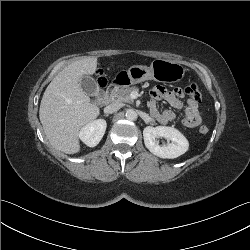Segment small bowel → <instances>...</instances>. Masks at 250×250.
<instances>
[{
    "label": "small bowel",
    "mask_w": 250,
    "mask_h": 250,
    "mask_svg": "<svg viewBox=\"0 0 250 250\" xmlns=\"http://www.w3.org/2000/svg\"><path fill=\"white\" fill-rule=\"evenodd\" d=\"M152 100L150 101L151 114L163 124L172 122L176 116L172 110L166 109L160 111L157 106L158 100H165L171 107L177 110L184 108L182 100L185 98L184 89L182 86L177 85L173 91H168L162 86L154 87L151 92ZM202 121L201 113L198 104L192 100H188L186 107L184 108V117L182 124L188 128L197 127Z\"/></svg>",
    "instance_id": "1"
}]
</instances>
